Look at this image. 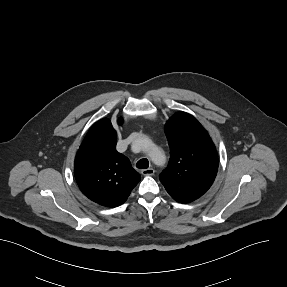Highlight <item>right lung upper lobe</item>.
<instances>
[{
    "label": "right lung upper lobe",
    "instance_id": "1",
    "mask_svg": "<svg viewBox=\"0 0 287 287\" xmlns=\"http://www.w3.org/2000/svg\"><path fill=\"white\" fill-rule=\"evenodd\" d=\"M119 124L122 123L120 118ZM117 133L109 119L96 122L75 158L74 173L82 193L106 207L123 204L140 181L127 157L116 151Z\"/></svg>",
    "mask_w": 287,
    "mask_h": 287
}]
</instances>
